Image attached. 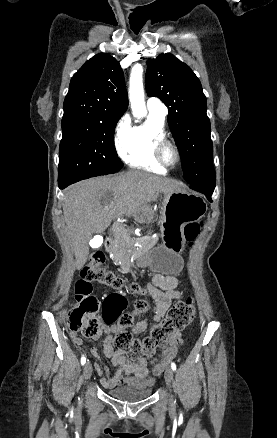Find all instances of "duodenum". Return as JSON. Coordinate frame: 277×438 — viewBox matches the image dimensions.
Listing matches in <instances>:
<instances>
[{"instance_id":"1","label":"duodenum","mask_w":277,"mask_h":438,"mask_svg":"<svg viewBox=\"0 0 277 438\" xmlns=\"http://www.w3.org/2000/svg\"><path fill=\"white\" fill-rule=\"evenodd\" d=\"M104 250L106 252H111L114 247V242L111 238H106L103 244Z\"/></svg>"}]
</instances>
